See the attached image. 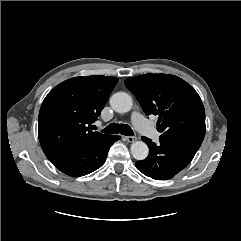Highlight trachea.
<instances>
[{
	"label": "trachea",
	"instance_id": "3493384b",
	"mask_svg": "<svg viewBox=\"0 0 241 241\" xmlns=\"http://www.w3.org/2000/svg\"><path fill=\"white\" fill-rule=\"evenodd\" d=\"M102 132L107 133V134L121 133L122 135H126V136L134 135L130 126H128L126 124H118V123H111L105 129H103Z\"/></svg>",
	"mask_w": 241,
	"mask_h": 241
}]
</instances>
